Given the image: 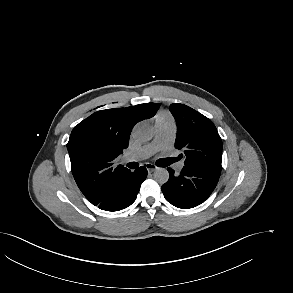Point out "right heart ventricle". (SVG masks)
<instances>
[{"label":"right heart ventricle","mask_w":293,"mask_h":293,"mask_svg":"<svg viewBox=\"0 0 293 293\" xmlns=\"http://www.w3.org/2000/svg\"><path fill=\"white\" fill-rule=\"evenodd\" d=\"M156 123L174 124V120L168 112H161L157 115Z\"/></svg>","instance_id":"e07e8e85"}]
</instances>
